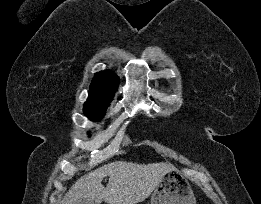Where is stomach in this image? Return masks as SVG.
<instances>
[{"instance_id":"stomach-1","label":"stomach","mask_w":261,"mask_h":204,"mask_svg":"<svg viewBox=\"0 0 261 204\" xmlns=\"http://www.w3.org/2000/svg\"><path fill=\"white\" fill-rule=\"evenodd\" d=\"M151 204H196V199L189 181L180 172L171 170L155 188Z\"/></svg>"}]
</instances>
